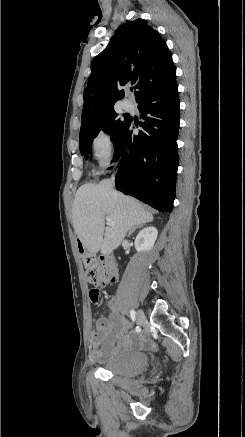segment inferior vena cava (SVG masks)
I'll use <instances>...</instances> for the list:
<instances>
[{
  "mask_svg": "<svg viewBox=\"0 0 245 437\" xmlns=\"http://www.w3.org/2000/svg\"><path fill=\"white\" fill-rule=\"evenodd\" d=\"M111 180H112V182H114V175H112V178H111Z\"/></svg>",
  "mask_w": 245,
  "mask_h": 437,
  "instance_id": "1",
  "label": "inferior vena cava"
}]
</instances>
